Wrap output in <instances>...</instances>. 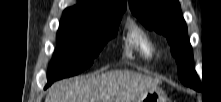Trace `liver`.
<instances>
[{"instance_id": "1", "label": "liver", "mask_w": 221, "mask_h": 102, "mask_svg": "<svg viewBox=\"0 0 221 102\" xmlns=\"http://www.w3.org/2000/svg\"><path fill=\"white\" fill-rule=\"evenodd\" d=\"M159 80L127 70L66 80L52 87L45 102H134Z\"/></svg>"}]
</instances>
